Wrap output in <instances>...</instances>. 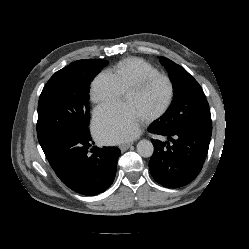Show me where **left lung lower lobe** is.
<instances>
[{"label":"left lung lower lobe","instance_id":"obj_1","mask_svg":"<svg viewBox=\"0 0 249 249\" xmlns=\"http://www.w3.org/2000/svg\"><path fill=\"white\" fill-rule=\"evenodd\" d=\"M148 130L166 136L172 142L152 139L154 153L149 169L153 178L170 188H178L194 180L207 156L212 126L167 132L153 122Z\"/></svg>","mask_w":249,"mask_h":249}]
</instances>
